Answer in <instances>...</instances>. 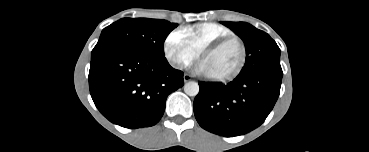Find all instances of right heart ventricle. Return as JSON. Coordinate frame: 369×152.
<instances>
[{"instance_id": "e07e8e85", "label": "right heart ventricle", "mask_w": 369, "mask_h": 152, "mask_svg": "<svg viewBox=\"0 0 369 152\" xmlns=\"http://www.w3.org/2000/svg\"><path fill=\"white\" fill-rule=\"evenodd\" d=\"M181 30L190 45L198 53L208 43L232 35V31L229 28L215 22L196 23Z\"/></svg>"}]
</instances>
